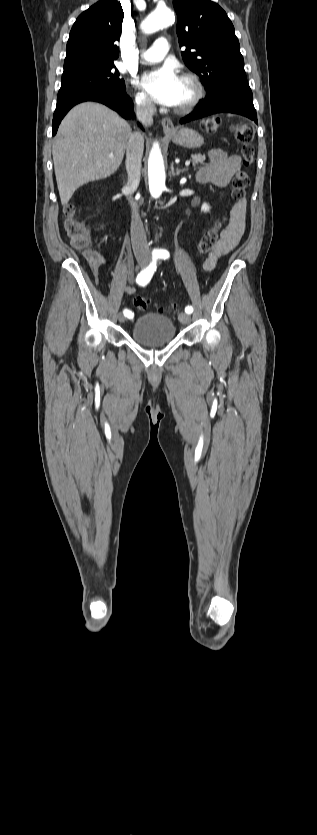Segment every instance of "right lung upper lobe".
I'll return each instance as SVG.
<instances>
[{"label": "right lung upper lobe", "mask_w": 317, "mask_h": 835, "mask_svg": "<svg viewBox=\"0 0 317 835\" xmlns=\"http://www.w3.org/2000/svg\"><path fill=\"white\" fill-rule=\"evenodd\" d=\"M123 17L121 4L116 0H101L84 11L71 29L65 62L114 63L119 55L115 42L122 31Z\"/></svg>", "instance_id": "right-lung-upper-lobe-1"}]
</instances>
